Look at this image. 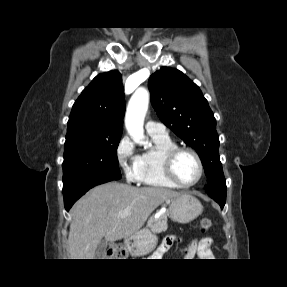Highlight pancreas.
Returning <instances> with one entry per match:
<instances>
[{"label":"pancreas","instance_id":"cf45deb5","mask_svg":"<svg viewBox=\"0 0 287 287\" xmlns=\"http://www.w3.org/2000/svg\"><path fill=\"white\" fill-rule=\"evenodd\" d=\"M167 213L160 215L159 217H151L147 222V228L153 233H161L167 230Z\"/></svg>","mask_w":287,"mask_h":287}]
</instances>
